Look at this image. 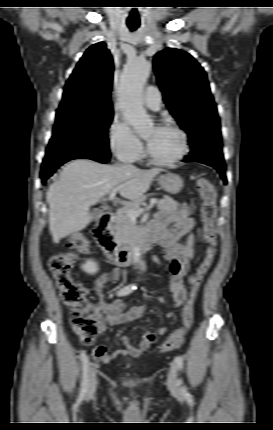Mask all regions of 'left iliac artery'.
<instances>
[{
  "label": "left iliac artery",
  "instance_id": "left-iliac-artery-1",
  "mask_svg": "<svg viewBox=\"0 0 273 430\" xmlns=\"http://www.w3.org/2000/svg\"><path fill=\"white\" fill-rule=\"evenodd\" d=\"M175 363L178 367L179 370H181L183 368V357L178 355L175 357Z\"/></svg>",
  "mask_w": 273,
  "mask_h": 430
}]
</instances>
